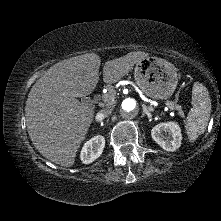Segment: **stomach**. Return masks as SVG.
I'll use <instances>...</instances> for the list:
<instances>
[{"instance_id": "1", "label": "stomach", "mask_w": 221, "mask_h": 221, "mask_svg": "<svg viewBox=\"0 0 221 221\" xmlns=\"http://www.w3.org/2000/svg\"><path fill=\"white\" fill-rule=\"evenodd\" d=\"M134 78L147 96L157 100L171 97L178 83L175 66L165 59L152 56L136 63Z\"/></svg>"}]
</instances>
